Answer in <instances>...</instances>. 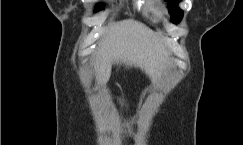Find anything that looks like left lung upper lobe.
<instances>
[{
  "mask_svg": "<svg viewBox=\"0 0 243 145\" xmlns=\"http://www.w3.org/2000/svg\"><path fill=\"white\" fill-rule=\"evenodd\" d=\"M168 1V8L171 13V21L175 24L179 23L183 16V11L177 6L181 0H165Z\"/></svg>",
  "mask_w": 243,
  "mask_h": 145,
  "instance_id": "1",
  "label": "left lung upper lobe"
}]
</instances>
